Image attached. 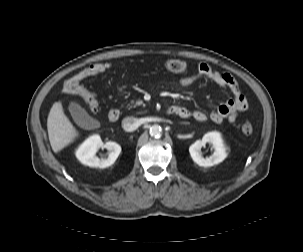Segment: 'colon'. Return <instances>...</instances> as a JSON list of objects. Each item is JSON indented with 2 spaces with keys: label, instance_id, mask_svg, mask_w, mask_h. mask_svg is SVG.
I'll use <instances>...</instances> for the list:
<instances>
[{
  "label": "colon",
  "instance_id": "5ec220e1",
  "mask_svg": "<svg viewBox=\"0 0 303 252\" xmlns=\"http://www.w3.org/2000/svg\"><path fill=\"white\" fill-rule=\"evenodd\" d=\"M163 67L173 73H184L187 69V65L184 61L170 59L163 63ZM112 69L110 63H96L89 65L87 68L76 73L72 78L66 82V87L71 95L81 96L88 104L90 110L93 113L98 111V101L96 95L92 92L85 91L79 86V81L88 76L102 75L108 73ZM254 128L251 123L244 122L241 126V132L244 136L248 137L253 134Z\"/></svg>",
  "mask_w": 303,
  "mask_h": 252
}]
</instances>
